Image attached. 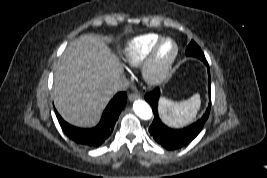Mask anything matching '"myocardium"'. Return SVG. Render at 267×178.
<instances>
[{
  "instance_id": "f54148a6",
  "label": "myocardium",
  "mask_w": 267,
  "mask_h": 178,
  "mask_svg": "<svg viewBox=\"0 0 267 178\" xmlns=\"http://www.w3.org/2000/svg\"><path fill=\"white\" fill-rule=\"evenodd\" d=\"M166 41H170L173 43L174 52L172 56L163 65L157 66V57L159 50ZM179 54V45L173 38L161 37L142 63L141 73L144 81L151 86H157L163 83L170 75L179 57Z\"/></svg>"
}]
</instances>
